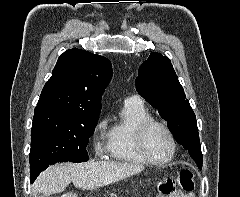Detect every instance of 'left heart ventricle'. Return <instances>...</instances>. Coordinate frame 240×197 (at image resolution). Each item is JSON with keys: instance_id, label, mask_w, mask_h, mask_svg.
<instances>
[{"instance_id": "obj_1", "label": "left heart ventricle", "mask_w": 240, "mask_h": 197, "mask_svg": "<svg viewBox=\"0 0 240 197\" xmlns=\"http://www.w3.org/2000/svg\"><path fill=\"white\" fill-rule=\"evenodd\" d=\"M145 144L150 156L156 160L168 158L172 151V144L168 134L158 125H153L148 129Z\"/></svg>"}]
</instances>
